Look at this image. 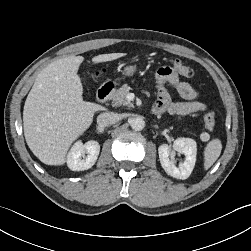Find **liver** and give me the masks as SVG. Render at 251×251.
<instances>
[{
    "label": "liver",
    "mask_w": 251,
    "mask_h": 251,
    "mask_svg": "<svg viewBox=\"0 0 251 251\" xmlns=\"http://www.w3.org/2000/svg\"><path fill=\"white\" fill-rule=\"evenodd\" d=\"M125 53L101 54L94 63L113 61ZM81 56L56 60L37 76L23 110L24 135L33 154L47 165H63L69 147L92 124L96 111L104 108L83 100L77 74Z\"/></svg>",
    "instance_id": "1"
}]
</instances>
